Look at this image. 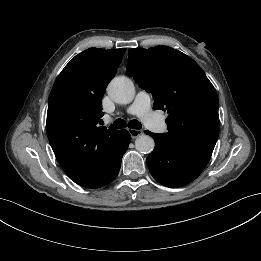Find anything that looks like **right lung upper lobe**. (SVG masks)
I'll return each mask as SVG.
<instances>
[{
    "label": "right lung upper lobe",
    "mask_w": 261,
    "mask_h": 261,
    "mask_svg": "<svg viewBox=\"0 0 261 261\" xmlns=\"http://www.w3.org/2000/svg\"><path fill=\"white\" fill-rule=\"evenodd\" d=\"M125 48H90L57 77L48 100L47 135L55 156L75 183L95 175L108 160L122 130L100 127L102 97Z\"/></svg>",
    "instance_id": "right-lung-upper-lobe-1"
}]
</instances>
